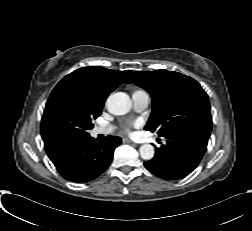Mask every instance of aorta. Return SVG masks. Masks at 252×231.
Listing matches in <instances>:
<instances>
[{
    "instance_id": "obj_1",
    "label": "aorta",
    "mask_w": 252,
    "mask_h": 231,
    "mask_svg": "<svg viewBox=\"0 0 252 231\" xmlns=\"http://www.w3.org/2000/svg\"><path fill=\"white\" fill-rule=\"evenodd\" d=\"M106 105L111 114L124 115L131 108V100L126 93L117 92L107 98ZM139 152L141 158L144 160H151L155 154L154 147L151 144L142 145Z\"/></svg>"
}]
</instances>
